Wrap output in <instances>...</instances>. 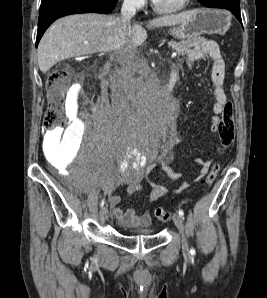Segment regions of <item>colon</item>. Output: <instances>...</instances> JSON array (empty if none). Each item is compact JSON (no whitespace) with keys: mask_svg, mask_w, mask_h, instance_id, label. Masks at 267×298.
<instances>
[{"mask_svg":"<svg viewBox=\"0 0 267 298\" xmlns=\"http://www.w3.org/2000/svg\"><path fill=\"white\" fill-rule=\"evenodd\" d=\"M69 73L66 70L52 72L47 79V90L49 97L48 109L44 118V126L48 131L64 127L67 119L64 114V94L68 88ZM221 150L228 148L234 139V115L231 105H228L221 116L218 131ZM219 170L218 165H214L204 180L206 186H210L216 179ZM155 216L160 221L166 222L171 214L164 208H157Z\"/></svg>","mask_w":267,"mask_h":298,"instance_id":"colon-1","label":"colon"}]
</instances>
